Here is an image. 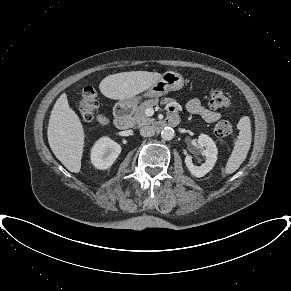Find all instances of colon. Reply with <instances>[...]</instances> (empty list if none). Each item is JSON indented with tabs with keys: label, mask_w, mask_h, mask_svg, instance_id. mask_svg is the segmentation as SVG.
Instances as JSON below:
<instances>
[{
	"label": "colon",
	"mask_w": 291,
	"mask_h": 291,
	"mask_svg": "<svg viewBox=\"0 0 291 291\" xmlns=\"http://www.w3.org/2000/svg\"><path fill=\"white\" fill-rule=\"evenodd\" d=\"M230 104V99L221 89L211 92L209 105L214 109H224ZM98 108V98L95 90L91 86H86L81 95L79 106V117L82 121H90ZM214 132L220 138L228 137L233 133V125L228 120H221L215 125Z\"/></svg>",
	"instance_id": "colon-1"
}]
</instances>
